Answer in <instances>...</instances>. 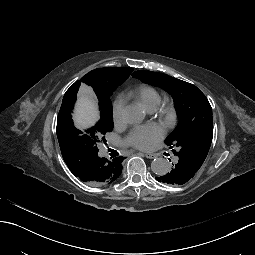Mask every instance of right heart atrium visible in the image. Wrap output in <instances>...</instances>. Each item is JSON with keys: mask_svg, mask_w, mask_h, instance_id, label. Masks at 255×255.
<instances>
[{"mask_svg": "<svg viewBox=\"0 0 255 255\" xmlns=\"http://www.w3.org/2000/svg\"><path fill=\"white\" fill-rule=\"evenodd\" d=\"M112 117L116 125L123 122L124 119V101L122 99H117L112 108Z\"/></svg>", "mask_w": 255, "mask_h": 255, "instance_id": "1", "label": "right heart atrium"}]
</instances>
